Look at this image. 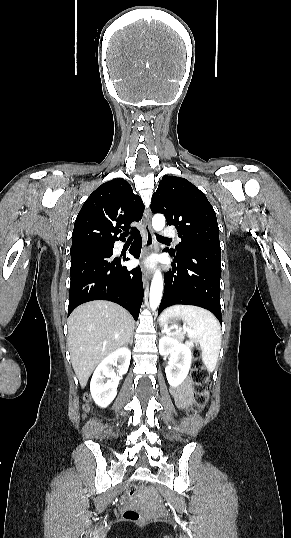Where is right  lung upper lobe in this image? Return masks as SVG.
Instances as JSON below:
<instances>
[{"instance_id": "cb5924a9", "label": "right lung upper lobe", "mask_w": 291, "mask_h": 538, "mask_svg": "<svg viewBox=\"0 0 291 538\" xmlns=\"http://www.w3.org/2000/svg\"><path fill=\"white\" fill-rule=\"evenodd\" d=\"M143 212L140 196L133 193L126 180L117 178L102 184L87 198L77 215L71 250L114 245L117 240H125L130 223L139 221ZM121 229L125 232L117 237Z\"/></svg>"}]
</instances>
